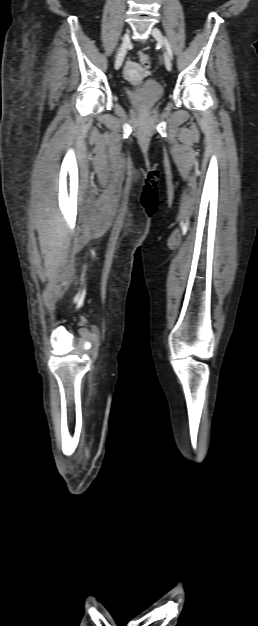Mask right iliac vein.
I'll return each instance as SVG.
<instances>
[{"mask_svg": "<svg viewBox=\"0 0 258 626\" xmlns=\"http://www.w3.org/2000/svg\"><path fill=\"white\" fill-rule=\"evenodd\" d=\"M129 44H130V36H129V33H126L122 38V44H121L119 53L115 61V69H119L121 67Z\"/></svg>", "mask_w": 258, "mask_h": 626, "instance_id": "1", "label": "right iliac vein"}]
</instances>
